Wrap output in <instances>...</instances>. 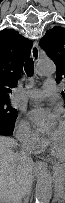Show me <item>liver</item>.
<instances>
[{"label": "liver", "mask_w": 65, "mask_h": 203, "mask_svg": "<svg viewBox=\"0 0 65 203\" xmlns=\"http://www.w3.org/2000/svg\"><path fill=\"white\" fill-rule=\"evenodd\" d=\"M12 138L0 137V202L13 203L20 188L25 191L30 182L34 163L12 150ZM24 191V193H25Z\"/></svg>", "instance_id": "obj_1"}]
</instances>
